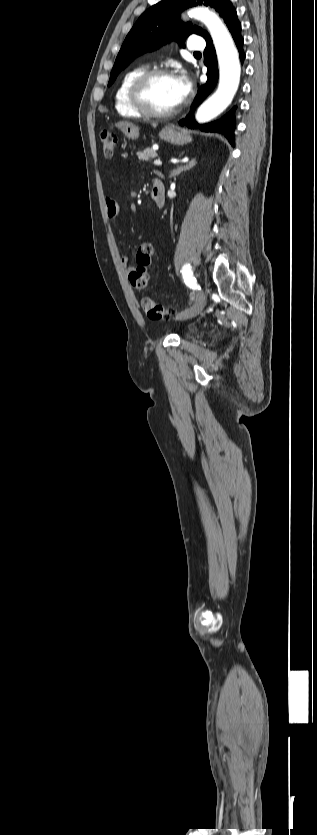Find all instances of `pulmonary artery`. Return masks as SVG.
I'll return each instance as SVG.
<instances>
[{
	"label": "pulmonary artery",
	"instance_id": "e3ab8cb5",
	"mask_svg": "<svg viewBox=\"0 0 317 835\" xmlns=\"http://www.w3.org/2000/svg\"><path fill=\"white\" fill-rule=\"evenodd\" d=\"M204 48H205V43L200 37L195 36V37L191 38V40L189 42V45H188V49L190 51L199 52V51L203 50Z\"/></svg>",
	"mask_w": 317,
	"mask_h": 835
}]
</instances>
